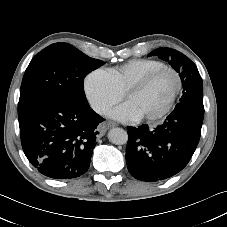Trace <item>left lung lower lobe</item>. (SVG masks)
Instances as JSON below:
<instances>
[{
    "label": "left lung lower lobe",
    "mask_w": 227,
    "mask_h": 227,
    "mask_svg": "<svg viewBox=\"0 0 227 227\" xmlns=\"http://www.w3.org/2000/svg\"><path fill=\"white\" fill-rule=\"evenodd\" d=\"M204 108L175 109L155 130L148 125L128 128L126 162L138 180L155 182L180 172L200 139Z\"/></svg>",
    "instance_id": "obj_1"
}]
</instances>
